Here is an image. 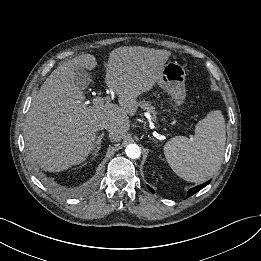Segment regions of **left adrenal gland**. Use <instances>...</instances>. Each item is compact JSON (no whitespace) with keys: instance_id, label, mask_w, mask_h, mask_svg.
I'll use <instances>...</instances> for the list:
<instances>
[{"instance_id":"obj_1","label":"left adrenal gland","mask_w":261,"mask_h":261,"mask_svg":"<svg viewBox=\"0 0 261 261\" xmlns=\"http://www.w3.org/2000/svg\"><path fill=\"white\" fill-rule=\"evenodd\" d=\"M150 139L154 142V143H158V141L156 140V139H154V138H152V137H150Z\"/></svg>"}]
</instances>
